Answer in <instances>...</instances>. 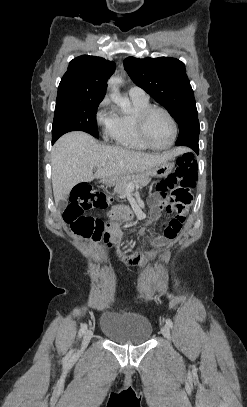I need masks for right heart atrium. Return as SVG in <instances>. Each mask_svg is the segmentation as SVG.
Instances as JSON below:
<instances>
[{"label":"right heart atrium","mask_w":247,"mask_h":407,"mask_svg":"<svg viewBox=\"0 0 247 407\" xmlns=\"http://www.w3.org/2000/svg\"><path fill=\"white\" fill-rule=\"evenodd\" d=\"M109 100L108 98H104L98 107V111L96 114L97 122L102 125L106 130L110 126L112 122V112L108 109Z\"/></svg>","instance_id":"obj_1"}]
</instances>
